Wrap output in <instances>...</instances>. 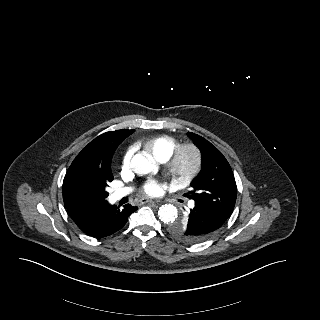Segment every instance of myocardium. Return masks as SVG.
Here are the masks:
<instances>
[{"label": "myocardium", "mask_w": 320, "mask_h": 320, "mask_svg": "<svg viewBox=\"0 0 320 320\" xmlns=\"http://www.w3.org/2000/svg\"><path fill=\"white\" fill-rule=\"evenodd\" d=\"M202 152L200 148L191 142L178 145L166 162V170L172 183L178 186H186L201 171Z\"/></svg>", "instance_id": "obj_1"}]
</instances>
